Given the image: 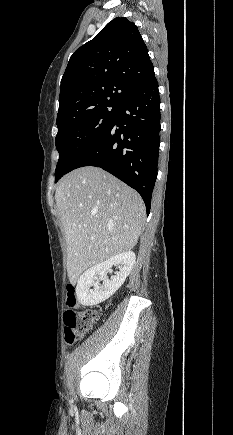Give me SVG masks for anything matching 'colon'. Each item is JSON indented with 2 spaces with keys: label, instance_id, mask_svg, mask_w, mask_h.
Listing matches in <instances>:
<instances>
[{
  "label": "colon",
  "instance_id": "colon-1",
  "mask_svg": "<svg viewBox=\"0 0 233 435\" xmlns=\"http://www.w3.org/2000/svg\"><path fill=\"white\" fill-rule=\"evenodd\" d=\"M77 284L67 285V304L73 306L76 302ZM97 318L93 309L70 308L65 315V340L68 345H73L90 330Z\"/></svg>",
  "mask_w": 233,
  "mask_h": 435
}]
</instances>
